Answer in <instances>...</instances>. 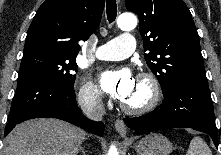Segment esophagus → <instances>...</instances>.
<instances>
[{
    "label": "esophagus",
    "mask_w": 221,
    "mask_h": 155,
    "mask_svg": "<svg viewBox=\"0 0 221 155\" xmlns=\"http://www.w3.org/2000/svg\"><path fill=\"white\" fill-rule=\"evenodd\" d=\"M115 129L122 137H126L127 136V128H126V125L123 122V120L116 119V121H115Z\"/></svg>",
    "instance_id": "34e87169"
}]
</instances>
